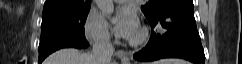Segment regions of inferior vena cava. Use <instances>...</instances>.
Wrapping results in <instances>:
<instances>
[{"instance_id": "inferior-vena-cava-1", "label": "inferior vena cava", "mask_w": 242, "mask_h": 64, "mask_svg": "<svg viewBox=\"0 0 242 64\" xmlns=\"http://www.w3.org/2000/svg\"><path fill=\"white\" fill-rule=\"evenodd\" d=\"M114 47L110 43L109 38L97 40L93 45L94 59L97 64H110Z\"/></svg>"}]
</instances>
